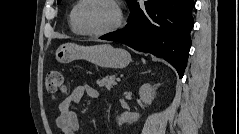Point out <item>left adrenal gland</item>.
Wrapping results in <instances>:
<instances>
[{
  "label": "left adrenal gland",
  "mask_w": 239,
  "mask_h": 134,
  "mask_svg": "<svg viewBox=\"0 0 239 134\" xmlns=\"http://www.w3.org/2000/svg\"><path fill=\"white\" fill-rule=\"evenodd\" d=\"M150 72V70H148L147 72H145V73H149Z\"/></svg>",
  "instance_id": "1"
}]
</instances>
